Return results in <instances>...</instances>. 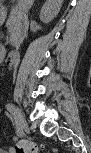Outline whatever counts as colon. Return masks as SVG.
I'll list each match as a JSON object with an SVG mask.
<instances>
[{
  "mask_svg": "<svg viewBox=\"0 0 91 153\" xmlns=\"http://www.w3.org/2000/svg\"><path fill=\"white\" fill-rule=\"evenodd\" d=\"M41 146L33 141L20 140L14 146V153H38Z\"/></svg>",
  "mask_w": 91,
  "mask_h": 153,
  "instance_id": "colon-1",
  "label": "colon"
}]
</instances>
